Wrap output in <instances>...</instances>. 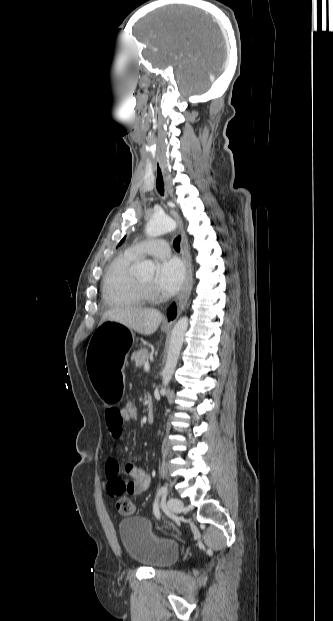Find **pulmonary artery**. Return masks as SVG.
I'll return each mask as SVG.
<instances>
[{"label":"pulmonary artery","instance_id":"pulmonary-artery-1","mask_svg":"<svg viewBox=\"0 0 333 621\" xmlns=\"http://www.w3.org/2000/svg\"><path fill=\"white\" fill-rule=\"evenodd\" d=\"M136 257L150 255L154 257H166L170 253L169 246L164 240H148L136 243L128 250Z\"/></svg>","mask_w":333,"mask_h":621}]
</instances>
